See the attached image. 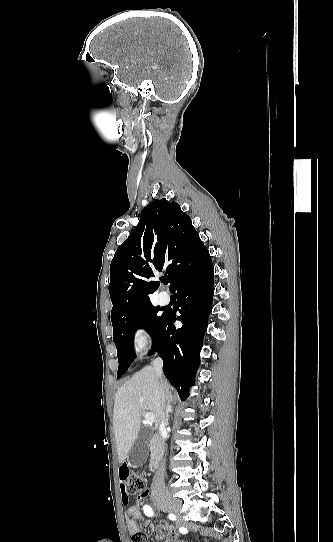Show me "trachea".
Instances as JSON below:
<instances>
[{
  "label": "trachea",
  "mask_w": 333,
  "mask_h": 542,
  "mask_svg": "<svg viewBox=\"0 0 333 542\" xmlns=\"http://www.w3.org/2000/svg\"><path fill=\"white\" fill-rule=\"evenodd\" d=\"M162 282L166 285L168 283L167 279L162 280Z\"/></svg>",
  "instance_id": "1"
}]
</instances>
